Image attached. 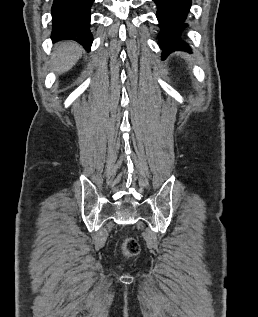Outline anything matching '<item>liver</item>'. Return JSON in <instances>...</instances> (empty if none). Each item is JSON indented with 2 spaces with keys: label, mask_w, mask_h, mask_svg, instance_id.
I'll return each instance as SVG.
<instances>
[{
  "label": "liver",
  "mask_w": 258,
  "mask_h": 317,
  "mask_svg": "<svg viewBox=\"0 0 258 317\" xmlns=\"http://www.w3.org/2000/svg\"><path fill=\"white\" fill-rule=\"evenodd\" d=\"M82 52L83 48L77 42H72V40L61 42L53 52V70H56L59 74L66 72L77 62Z\"/></svg>",
  "instance_id": "liver-1"
}]
</instances>
